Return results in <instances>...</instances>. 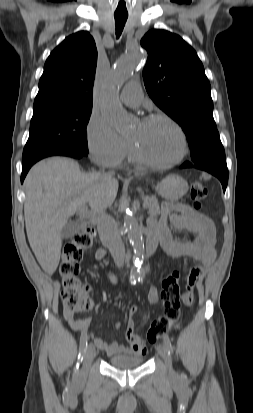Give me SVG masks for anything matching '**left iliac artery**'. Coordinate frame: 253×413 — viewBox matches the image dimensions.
Listing matches in <instances>:
<instances>
[{"label":"left iliac artery","mask_w":253,"mask_h":413,"mask_svg":"<svg viewBox=\"0 0 253 413\" xmlns=\"http://www.w3.org/2000/svg\"><path fill=\"white\" fill-rule=\"evenodd\" d=\"M164 344L168 347L169 352L173 351L172 344H171V341H170L168 335L164 337ZM182 378L183 379L186 378L185 374H182Z\"/></svg>","instance_id":"left-iliac-artery-1"}]
</instances>
